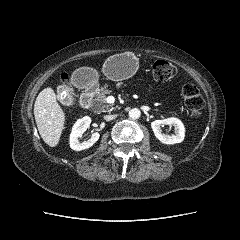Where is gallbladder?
Instances as JSON below:
<instances>
[{
	"instance_id": "obj_1",
	"label": "gallbladder",
	"mask_w": 240,
	"mask_h": 240,
	"mask_svg": "<svg viewBox=\"0 0 240 240\" xmlns=\"http://www.w3.org/2000/svg\"><path fill=\"white\" fill-rule=\"evenodd\" d=\"M57 92H58V94L61 95V94L64 92L63 86H58ZM61 102H62V104H64V105H68V104L70 103V100H69L68 98H63Z\"/></svg>"
}]
</instances>
